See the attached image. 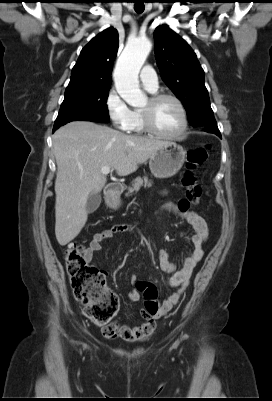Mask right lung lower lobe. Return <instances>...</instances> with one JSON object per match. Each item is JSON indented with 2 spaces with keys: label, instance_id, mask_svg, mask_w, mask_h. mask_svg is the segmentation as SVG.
Returning a JSON list of instances; mask_svg holds the SVG:
<instances>
[{
  "label": "right lung lower lobe",
  "instance_id": "98d812e1",
  "mask_svg": "<svg viewBox=\"0 0 272 401\" xmlns=\"http://www.w3.org/2000/svg\"><path fill=\"white\" fill-rule=\"evenodd\" d=\"M57 128H53V132L56 130Z\"/></svg>",
  "mask_w": 272,
  "mask_h": 401
}]
</instances>
